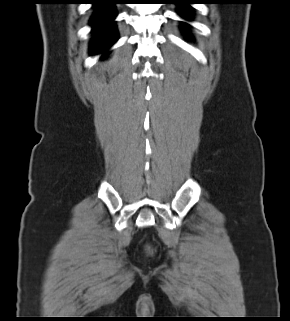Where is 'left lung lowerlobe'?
<instances>
[{"label": "left lung lower lobe", "mask_w": 290, "mask_h": 321, "mask_svg": "<svg viewBox=\"0 0 290 321\" xmlns=\"http://www.w3.org/2000/svg\"><path fill=\"white\" fill-rule=\"evenodd\" d=\"M197 3H201V0H175L174 4H178L181 6L179 10L182 17H184L185 19H190L191 7L189 4H197ZM184 30L185 32H187L186 29Z\"/></svg>", "instance_id": "0a47b994"}]
</instances>
